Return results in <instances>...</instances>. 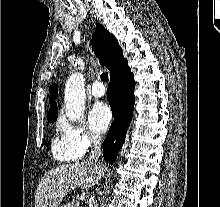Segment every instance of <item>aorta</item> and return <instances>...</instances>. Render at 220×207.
Instances as JSON below:
<instances>
[{"instance_id":"1","label":"aorta","mask_w":220,"mask_h":207,"mask_svg":"<svg viewBox=\"0 0 220 207\" xmlns=\"http://www.w3.org/2000/svg\"><path fill=\"white\" fill-rule=\"evenodd\" d=\"M64 94L66 116L77 121L85 110V78L82 73H74L68 78Z\"/></svg>"}]
</instances>
